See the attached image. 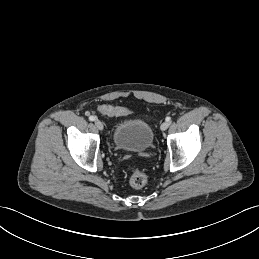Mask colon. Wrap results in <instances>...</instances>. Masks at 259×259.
Returning a JSON list of instances; mask_svg holds the SVG:
<instances>
[{"label":"colon","instance_id":"colon-1","mask_svg":"<svg viewBox=\"0 0 259 259\" xmlns=\"http://www.w3.org/2000/svg\"><path fill=\"white\" fill-rule=\"evenodd\" d=\"M100 113L110 116H125L132 113V110L127 107H119L112 105H103L99 108ZM148 182L146 173L139 169H134L129 172V184L131 187L139 189L145 186Z\"/></svg>","mask_w":259,"mask_h":259}]
</instances>
